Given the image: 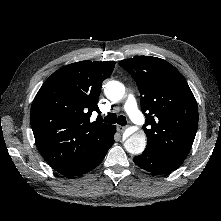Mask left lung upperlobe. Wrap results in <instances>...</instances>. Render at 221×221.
Here are the masks:
<instances>
[{"instance_id":"5c2ea615","label":"left lung upper lobe","mask_w":221,"mask_h":221,"mask_svg":"<svg viewBox=\"0 0 221 221\" xmlns=\"http://www.w3.org/2000/svg\"><path fill=\"white\" fill-rule=\"evenodd\" d=\"M136 81L146 117L145 151L184 160L198 127V108L192 91L179 71L167 61L137 56L119 62Z\"/></svg>"}]
</instances>
